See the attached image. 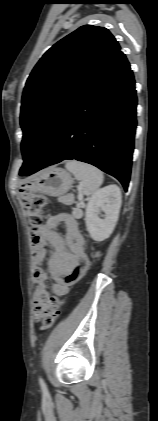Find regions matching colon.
I'll return each instance as SVG.
<instances>
[{
  "label": "colon",
  "mask_w": 158,
  "mask_h": 421,
  "mask_svg": "<svg viewBox=\"0 0 158 421\" xmlns=\"http://www.w3.org/2000/svg\"><path fill=\"white\" fill-rule=\"evenodd\" d=\"M46 205H47V198L39 194L31 196L25 202V213L29 221L31 232L34 237L33 240L36 239V237L38 236L42 228L43 221L45 218L44 208L46 207ZM97 255L98 253H95V256ZM59 313H60L59 309L56 307H52L44 311L41 315V328L42 329L51 328L56 322L59 316Z\"/></svg>",
  "instance_id": "1"
}]
</instances>
